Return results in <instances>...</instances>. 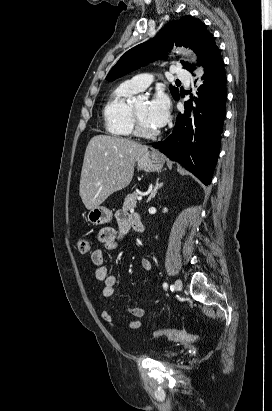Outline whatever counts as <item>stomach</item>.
Instances as JSON below:
<instances>
[{
	"label": "stomach",
	"mask_w": 272,
	"mask_h": 411,
	"mask_svg": "<svg viewBox=\"0 0 272 411\" xmlns=\"http://www.w3.org/2000/svg\"><path fill=\"white\" fill-rule=\"evenodd\" d=\"M138 170L146 172H154L162 169L164 164L163 156L156 151H147L136 160ZM88 221L94 225H103L109 223L112 219V212L103 206H98L89 211L87 215Z\"/></svg>",
	"instance_id": "1"
}]
</instances>
